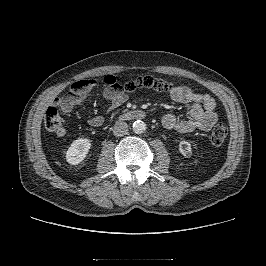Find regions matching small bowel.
<instances>
[{"mask_svg":"<svg viewBox=\"0 0 266 266\" xmlns=\"http://www.w3.org/2000/svg\"><path fill=\"white\" fill-rule=\"evenodd\" d=\"M171 98L178 103L190 104L189 118L187 120H179L173 114H167L162 119L163 126L168 130L178 132H193L196 130L209 131L217 122V114L215 112L216 101L208 94H201L192 91L183 84H177L171 90ZM103 99L109 101L108 112L111 113L122 106L128 99L127 95L117 89L108 88L103 92ZM87 94H69L57 98L55 103L65 113L72 112L75 106L85 104ZM105 118L100 115L93 116L89 119V125L99 128L104 124ZM68 131L64 129L62 136L67 135Z\"/></svg>","mask_w":266,"mask_h":266,"instance_id":"obj_1","label":"small bowel"}]
</instances>
